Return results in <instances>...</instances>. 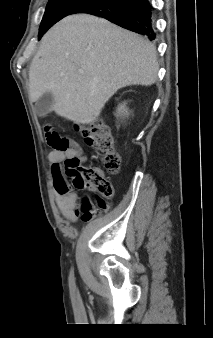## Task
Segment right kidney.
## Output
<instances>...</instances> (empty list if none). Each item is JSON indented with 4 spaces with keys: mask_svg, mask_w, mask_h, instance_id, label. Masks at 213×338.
I'll return each mask as SVG.
<instances>
[{
    "mask_svg": "<svg viewBox=\"0 0 213 338\" xmlns=\"http://www.w3.org/2000/svg\"><path fill=\"white\" fill-rule=\"evenodd\" d=\"M118 114L128 115V111L127 108L125 107V104L120 105V107L118 108Z\"/></svg>",
    "mask_w": 213,
    "mask_h": 338,
    "instance_id": "right-kidney-1",
    "label": "right kidney"
}]
</instances>
